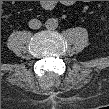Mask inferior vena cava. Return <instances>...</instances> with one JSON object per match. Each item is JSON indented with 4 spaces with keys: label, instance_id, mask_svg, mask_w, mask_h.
Wrapping results in <instances>:
<instances>
[{
    "label": "inferior vena cava",
    "instance_id": "602c4592",
    "mask_svg": "<svg viewBox=\"0 0 109 109\" xmlns=\"http://www.w3.org/2000/svg\"><path fill=\"white\" fill-rule=\"evenodd\" d=\"M41 26H42V23H41V21L38 20V19H31V20L29 21V27H30L31 29H39Z\"/></svg>",
    "mask_w": 109,
    "mask_h": 109
}]
</instances>
